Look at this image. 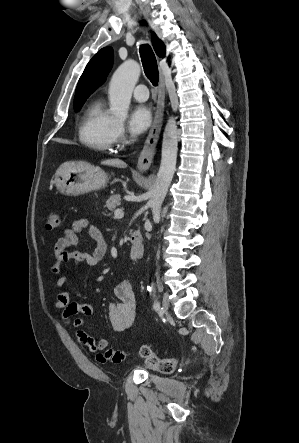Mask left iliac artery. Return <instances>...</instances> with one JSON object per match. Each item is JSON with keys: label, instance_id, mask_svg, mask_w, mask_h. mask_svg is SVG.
<instances>
[{"label": "left iliac artery", "instance_id": "left-iliac-artery-1", "mask_svg": "<svg viewBox=\"0 0 299 443\" xmlns=\"http://www.w3.org/2000/svg\"><path fill=\"white\" fill-rule=\"evenodd\" d=\"M159 307H160L159 302H155V303L153 304V308H154L155 310H158Z\"/></svg>", "mask_w": 299, "mask_h": 443}]
</instances>
